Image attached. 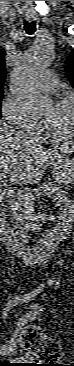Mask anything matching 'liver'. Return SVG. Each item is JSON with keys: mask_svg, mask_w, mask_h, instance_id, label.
Wrapping results in <instances>:
<instances>
[{"mask_svg": "<svg viewBox=\"0 0 74 366\" xmlns=\"http://www.w3.org/2000/svg\"><path fill=\"white\" fill-rule=\"evenodd\" d=\"M64 154L44 150L32 134L0 123V179L10 184L28 185L38 182L49 166Z\"/></svg>", "mask_w": 74, "mask_h": 366, "instance_id": "1", "label": "liver"}]
</instances>
